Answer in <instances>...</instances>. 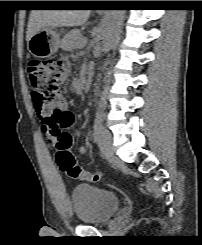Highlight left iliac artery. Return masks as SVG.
Returning a JSON list of instances; mask_svg holds the SVG:
<instances>
[{
	"label": "left iliac artery",
	"instance_id": "left-iliac-artery-1",
	"mask_svg": "<svg viewBox=\"0 0 202 245\" xmlns=\"http://www.w3.org/2000/svg\"><path fill=\"white\" fill-rule=\"evenodd\" d=\"M102 129V116L100 112H96L95 120H94V127H93V139L94 142L97 141V137Z\"/></svg>",
	"mask_w": 202,
	"mask_h": 245
}]
</instances>
